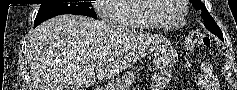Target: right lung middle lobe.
I'll use <instances>...</instances> for the list:
<instances>
[{"label":"right lung middle lobe","instance_id":"dd1d6c3e","mask_svg":"<svg viewBox=\"0 0 237 90\" xmlns=\"http://www.w3.org/2000/svg\"><path fill=\"white\" fill-rule=\"evenodd\" d=\"M91 2L41 4L34 25L61 14L84 15L97 19Z\"/></svg>","mask_w":237,"mask_h":90}]
</instances>
